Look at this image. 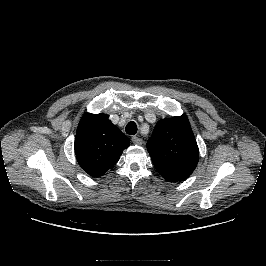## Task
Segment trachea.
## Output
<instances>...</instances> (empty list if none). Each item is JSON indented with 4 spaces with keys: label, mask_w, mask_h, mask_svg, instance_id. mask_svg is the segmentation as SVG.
Wrapping results in <instances>:
<instances>
[{
    "label": "trachea",
    "mask_w": 266,
    "mask_h": 266,
    "mask_svg": "<svg viewBox=\"0 0 266 266\" xmlns=\"http://www.w3.org/2000/svg\"><path fill=\"white\" fill-rule=\"evenodd\" d=\"M126 133L129 135H135L137 132V125L134 121H130L127 125H126Z\"/></svg>",
    "instance_id": "obj_1"
}]
</instances>
